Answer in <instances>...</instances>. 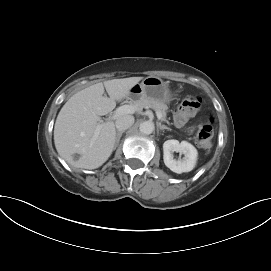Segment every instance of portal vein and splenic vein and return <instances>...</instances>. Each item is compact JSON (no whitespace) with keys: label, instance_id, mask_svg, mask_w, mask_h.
Masks as SVG:
<instances>
[{"label":"portal vein and splenic vein","instance_id":"1","mask_svg":"<svg viewBox=\"0 0 271 271\" xmlns=\"http://www.w3.org/2000/svg\"><path fill=\"white\" fill-rule=\"evenodd\" d=\"M139 109L137 108V106L135 105H123L120 106L119 108H117V110L115 111V113L113 114V116L111 117V119H117L122 115H126V114H133L136 111H138ZM157 118L158 119H162V114L161 112H156ZM99 127L97 128L96 132H95V136L98 135L99 133Z\"/></svg>","mask_w":271,"mask_h":271}]
</instances>
